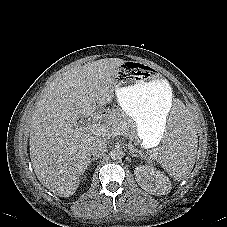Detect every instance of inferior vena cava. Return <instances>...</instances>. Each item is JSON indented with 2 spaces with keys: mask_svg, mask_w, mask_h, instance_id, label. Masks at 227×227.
<instances>
[{
  "mask_svg": "<svg viewBox=\"0 0 227 227\" xmlns=\"http://www.w3.org/2000/svg\"><path fill=\"white\" fill-rule=\"evenodd\" d=\"M106 149H107V144H106L105 140L97 139L91 145L90 153L94 157H100L101 155H103L105 153Z\"/></svg>",
  "mask_w": 227,
  "mask_h": 227,
  "instance_id": "inferior-vena-cava-1",
  "label": "inferior vena cava"
}]
</instances>
